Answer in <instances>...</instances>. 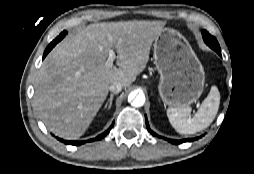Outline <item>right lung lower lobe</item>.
Here are the masks:
<instances>
[{"label": "right lung lower lobe", "instance_id": "1", "mask_svg": "<svg viewBox=\"0 0 254 174\" xmlns=\"http://www.w3.org/2000/svg\"><path fill=\"white\" fill-rule=\"evenodd\" d=\"M67 34V31H63L55 40H53L48 46H47V48H46V50H45V52H44V55H43V58H45L46 57V55L51 51V49L59 42V41H61L63 38H64V36ZM113 125H114V122H113V124L110 126V128L108 129V130H106L104 133H102V134H100L98 137H96V138H94V139H92L93 141L94 140H100V139H102L104 136H106L108 133H109V131L111 130V128L113 127ZM58 140L59 141H61V142H64L65 144H71V145H81V144H83V143H85V142H89V141H92V140H89V141H66V140H63V139H61V138H58Z\"/></svg>", "mask_w": 254, "mask_h": 174}]
</instances>
